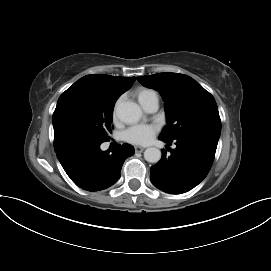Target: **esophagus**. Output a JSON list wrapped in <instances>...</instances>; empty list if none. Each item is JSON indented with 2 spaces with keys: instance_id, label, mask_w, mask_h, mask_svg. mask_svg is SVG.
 Returning a JSON list of instances; mask_svg holds the SVG:
<instances>
[{
  "instance_id": "esophagus-1",
  "label": "esophagus",
  "mask_w": 271,
  "mask_h": 271,
  "mask_svg": "<svg viewBox=\"0 0 271 271\" xmlns=\"http://www.w3.org/2000/svg\"><path fill=\"white\" fill-rule=\"evenodd\" d=\"M144 147H141V146H135V152L136 153H141V152H143L144 151Z\"/></svg>"
}]
</instances>
